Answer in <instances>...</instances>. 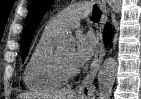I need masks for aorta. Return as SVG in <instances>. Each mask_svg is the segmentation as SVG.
<instances>
[{
	"mask_svg": "<svg viewBox=\"0 0 141 99\" xmlns=\"http://www.w3.org/2000/svg\"><path fill=\"white\" fill-rule=\"evenodd\" d=\"M111 10L119 13L121 10V0H107ZM64 46H73L74 38L66 36L62 40ZM117 71V61L114 57H108L102 63L98 72L99 99H110L112 88L115 82Z\"/></svg>",
	"mask_w": 141,
	"mask_h": 99,
	"instance_id": "obj_1",
	"label": "aorta"
}]
</instances>
